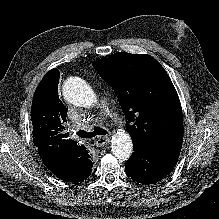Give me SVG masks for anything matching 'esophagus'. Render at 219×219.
<instances>
[{
  "mask_svg": "<svg viewBox=\"0 0 219 219\" xmlns=\"http://www.w3.org/2000/svg\"><path fill=\"white\" fill-rule=\"evenodd\" d=\"M110 141V136H103V137H97L95 139V146L96 147H103Z\"/></svg>",
  "mask_w": 219,
  "mask_h": 219,
  "instance_id": "1",
  "label": "esophagus"
}]
</instances>
